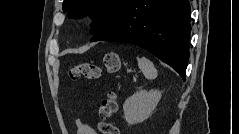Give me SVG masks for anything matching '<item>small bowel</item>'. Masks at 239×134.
I'll return each instance as SVG.
<instances>
[{"instance_id":"c3829d8e","label":"small bowel","mask_w":239,"mask_h":134,"mask_svg":"<svg viewBox=\"0 0 239 134\" xmlns=\"http://www.w3.org/2000/svg\"><path fill=\"white\" fill-rule=\"evenodd\" d=\"M78 134H96L94 129L82 119H77Z\"/></svg>"}]
</instances>
